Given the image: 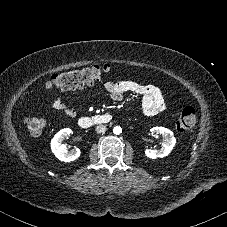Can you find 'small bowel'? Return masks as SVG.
I'll return each mask as SVG.
<instances>
[{
	"label": "small bowel",
	"mask_w": 227,
	"mask_h": 227,
	"mask_svg": "<svg viewBox=\"0 0 227 227\" xmlns=\"http://www.w3.org/2000/svg\"><path fill=\"white\" fill-rule=\"evenodd\" d=\"M105 90L110 97L119 101L127 93H134L141 97V106L144 114L154 116L165 109V101L159 87L151 84H141L135 81H108L104 84ZM52 83L47 82L45 86L46 92H50ZM80 91L75 92L79 94ZM50 107L53 110L60 111L68 117H74L75 111L63 100L56 98L50 101Z\"/></svg>",
	"instance_id": "small-bowel-1"
}]
</instances>
